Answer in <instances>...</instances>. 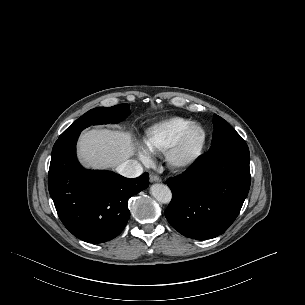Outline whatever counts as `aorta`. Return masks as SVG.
Returning a JSON list of instances; mask_svg holds the SVG:
<instances>
[{"label":"aorta","instance_id":"762f6f07","mask_svg":"<svg viewBox=\"0 0 305 305\" xmlns=\"http://www.w3.org/2000/svg\"><path fill=\"white\" fill-rule=\"evenodd\" d=\"M151 195L160 203H169L172 199V193L168 186L164 184H154L150 188Z\"/></svg>","mask_w":305,"mask_h":305}]
</instances>
